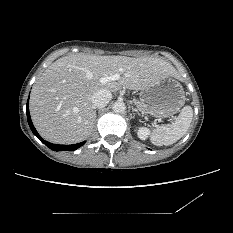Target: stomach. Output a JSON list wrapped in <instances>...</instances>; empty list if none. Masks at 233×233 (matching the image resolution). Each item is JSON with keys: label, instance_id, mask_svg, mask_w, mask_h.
Instances as JSON below:
<instances>
[{"label": "stomach", "instance_id": "obj_1", "mask_svg": "<svg viewBox=\"0 0 233 233\" xmlns=\"http://www.w3.org/2000/svg\"><path fill=\"white\" fill-rule=\"evenodd\" d=\"M184 101V89L173 77L164 78L140 93V103L145 112L157 118L172 116L179 111Z\"/></svg>", "mask_w": 233, "mask_h": 233}]
</instances>
